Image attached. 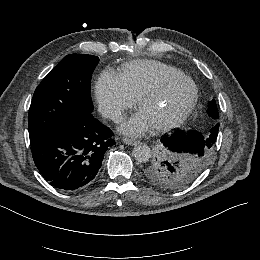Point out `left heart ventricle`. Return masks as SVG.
Instances as JSON below:
<instances>
[{
  "label": "left heart ventricle",
  "instance_id": "b2bd125f",
  "mask_svg": "<svg viewBox=\"0 0 260 260\" xmlns=\"http://www.w3.org/2000/svg\"><path fill=\"white\" fill-rule=\"evenodd\" d=\"M193 88L185 80L167 85L159 94L151 97L140 108L152 125L177 115L192 96Z\"/></svg>",
  "mask_w": 260,
  "mask_h": 260
}]
</instances>
